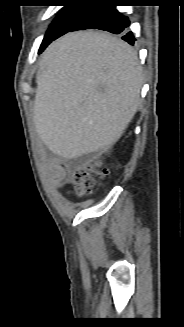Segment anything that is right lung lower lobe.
Instances as JSON below:
<instances>
[{"instance_id":"obj_1","label":"right lung lower lobe","mask_w":184,"mask_h":327,"mask_svg":"<svg viewBox=\"0 0 184 327\" xmlns=\"http://www.w3.org/2000/svg\"><path fill=\"white\" fill-rule=\"evenodd\" d=\"M130 25L128 17L120 13L114 5H95L88 8L82 19L69 31L99 29L114 34H124ZM123 40L133 45V33L127 32Z\"/></svg>"}]
</instances>
